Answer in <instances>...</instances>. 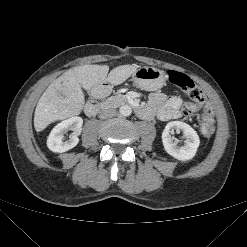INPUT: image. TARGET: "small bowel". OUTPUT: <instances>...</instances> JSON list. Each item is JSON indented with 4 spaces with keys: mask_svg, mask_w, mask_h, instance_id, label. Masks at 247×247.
<instances>
[{
    "mask_svg": "<svg viewBox=\"0 0 247 247\" xmlns=\"http://www.w3.org/2000/svg\"><path fill=\"white\" fill-rule=\"evenodd\" d=\"M181 104L182 99L178 96H167L162 92H154L149 97L145 118H150L155 113L161 120L177 119L181 116Z\"/></svg>",
    "mask_w": 247,
    "mask_h": 247,
    "instance_id": "c3829d8e",
    "label": "small bowel"
}]
</instances>
